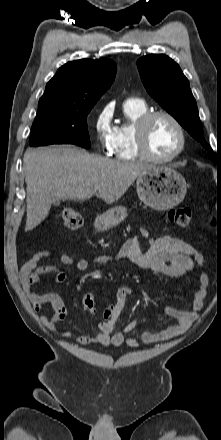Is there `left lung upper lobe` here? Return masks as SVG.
I'll return each mask as SVG.
<instances>
[{"instance_id": "5c2ea615", "label": "left lung upper lobe", "mask_w": 221, "mask_h": 440, "mask_svg": "<svg viewBox=\"0 0 221 440\" xmlns=\"http://www.w3.org/2000/svg\"><path fill=\"white\" fill-rule=\"evenodd\" d=\"M137 67L147 90L209 152L189 81L179 65L164 54H151L140 58Z\"/></svg>"}]
</instances>
